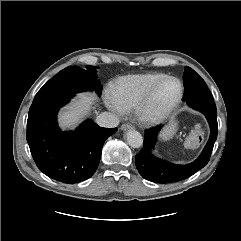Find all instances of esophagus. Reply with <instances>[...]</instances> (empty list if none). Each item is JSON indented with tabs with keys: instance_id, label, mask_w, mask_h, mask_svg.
I'll return each instance as SVG.
<instances>
[{
	"instance_id": "esophagus-1",
	"label": "esophagus",
	"mask_w": 241,
	"mask_h": 241,
	"mask_svg": "<svg viewBox=\"0 0 241 241\" xmlns=\"http://www.w3.org/2000/svg\"><path fill=\"white\" fill-rule=\"evenodd\" d=\"M132 128H133V126L131 124H128V123H124L120 127L121 130H128V129H132Z\"/></svg>"
}]
</instances>
